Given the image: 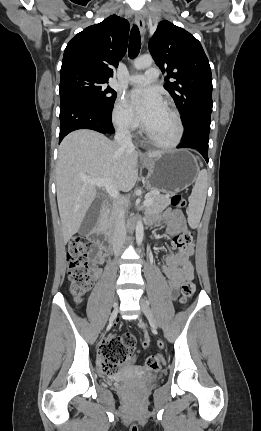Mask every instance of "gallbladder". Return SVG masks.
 I'll return each mask as SVG.
<instances>
[{"label": "gallbladder", "instance_id": "obj_1", "mask_svg": "<svg viewBox=\"0 0 261 431\" xmlns=\"http://www.w3.org/2000/svg\"><path fill=\"white\" fill-rule=\"evenodd\" d=\"M100 208H101V200L100 198H96L91 204L90 208L88 209L81 223L79 232L82 235H87L93 230L99 217Z\"/></svg>", "mask_w": 261, "mask_h": 431}]
</instances>
